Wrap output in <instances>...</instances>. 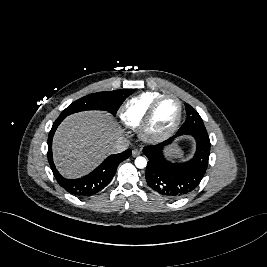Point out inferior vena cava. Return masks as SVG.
Instances as JSON below:
<instances>
[{
    "label": "inferior vena cava",
    "instance_id": "602c4592",
    "mask_svg": "<svg viewBox=\"0 0 267 267\" xmlns=\"http://www.w3.org/2000/svg\"><path fill=\"white\" fill-rule=\"evenodd\" d=\"M129 146V141L127 139H120L118 141H116L113 144L112 150L115 153H119V152H123L125 151Z\"/></svg>",
    "mask_w": 267,
    "mask_h": 267
}]
</instances>
